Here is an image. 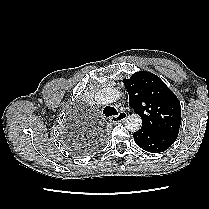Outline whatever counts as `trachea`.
I'll list each match as a JSON object with an SVG mask.
<instances>
[{
    "instance_id": "3493384b",
    "label": "trachea",
    "mask_w": 209,
    "mask_h": 209,
    "mask_svg": "<svg viewBox=\"0 0 209 209\" xmlns=\"http://www.w3.org/2000/svg\"><path fill=\"white\" fill-rule=\"evenodd\" d=\"M103 114H105L106 117L118 115L117 110L114 107L106 106L104 108Z\"/></svg>"
}]
</instances>
